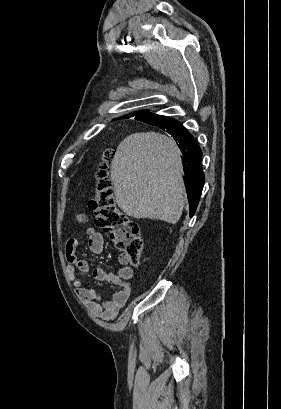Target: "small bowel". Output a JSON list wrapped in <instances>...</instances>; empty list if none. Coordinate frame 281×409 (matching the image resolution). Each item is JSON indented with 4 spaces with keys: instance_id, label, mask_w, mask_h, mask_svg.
I'll use <instances>...</instances> for the list:
<instances>
[{
    "instance_id": "c3829d8e",
    "label": "small bowel",
    "mask_w": 281,
    "mask_h": 409,
    "mask_svg": "<svg viewBox=\"0 0 281 409\" xmlns=\"http://www.w3.org/2000/svg\"><path fill=\"white\" fill-rule=\"evenodd\" d=\"M81 221H84L80 217ZM89 249L93 254L100 255L104 250L103 237L93 228L86 230ZM79 242L75 238L67 240L65 250L67 254V275L71 280L75 281V291L77 295L84 301L87 307L98 317L104 320L114 319L123 306L132 296V286L130 281L134 277V269L129 265H123L117 273L108 272L103 268H92L91 264L82 259H78L75 252ZM77 272L91 273L93 278L98 282H108L119 287V290L109 299L103 298L94 289L85 286L77 279Z\"/></svg>"
}]
</instances>
